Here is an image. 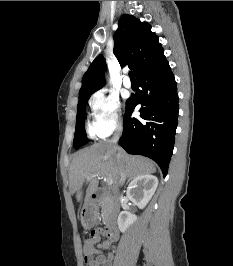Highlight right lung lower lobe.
<instances>
[{"mask_svg": "<svg viewBox=\"0 0 233 266\" xmlns=\"http://www.w3.org/2000/svg\"><path fill=\"white\" fill-rule=\"evenodd\" d=\"M137 82L142 90L126 101L119 143L129 154L153 159L165 177L174 148L179 112L176 82L165 56L139 73ZM138 104H141V119L131 116Z\"/></svg>", "mask_w": 233, "mask_h": 266, "instance_id": "right-lung-lower-lobe-1", "label": "right lung lower lobe"}]
</instances>
